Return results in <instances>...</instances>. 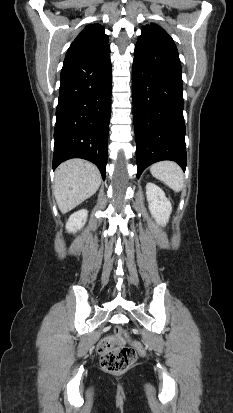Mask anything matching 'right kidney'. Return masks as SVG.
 Wrapping results in <instances>:
<instances>
[{
	"mask_svg": "<svg viewBox=\"0 0 233 413\" xmlns=\"http://www.w3.org/2000/svg\"><path fill=\"white\" fill-rule=\"evenodd\" d=\"M88 217V211L86 209L74 212L66 223V229L69 233H76L86 223Z\"/></svg>",
	"mask_w": 233,
	"mask_h": 413,
	"instance_id": "right-kidney-1",
	"label": "right kidney"
}]
</instances>
